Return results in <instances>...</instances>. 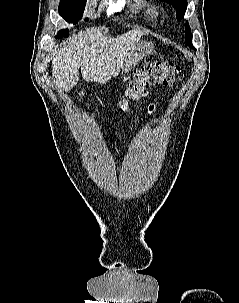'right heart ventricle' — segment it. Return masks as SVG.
Instances as JSON below:
<instances>
[{"mask_svg": "<svg viewBox=\"0 0 239 303\" xmlns=\"http://www.w3.org/2000/svg\"><path fill=\"white\" fill-rule=\"evenodd\" d=\"M159 7L157 5L151 4L148 6V12L152 15V16H157L159 14Z\"/></svg>", "mask_w": 239, "mask_h": 303, "instance_id": "obj_1", "label": "right heart ventricle"}]
</instances>
